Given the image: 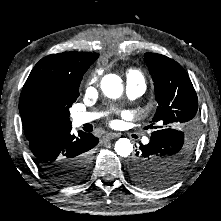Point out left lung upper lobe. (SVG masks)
Listing matches in <instances>:
<instances>
[{"label":"left lung upper lobe","mask_w":221,"mask_h":221,"mask_svg":"<svg viewBox=\"0 0 221 221\" xmlns=\"http://www.w3.org/2000/svg\"><path fill=\"white\" fill-rule=\"evenodd\" d=\"M145 61L154 81L158 102L152 123L156 128L171 129L174 140H165L145 157L148 168L144 176L134 180L138 185L159 189L171 184L184 171L194 151L199 124L198 99L191 80L183 67L160 54L145 53ZM161 177L153 182L155 171ZM156 181V180H155Z\"/></svg>","instance_id":"1"}]
</instances>
